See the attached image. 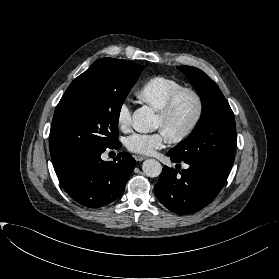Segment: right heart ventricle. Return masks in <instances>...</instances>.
<instances>
[{"label":"right heart ventricle","mask_w":279,"mask_h":279,"mask_svg":"<svg viewBox=\"0 0 279 279\" xmlns=\"http://www.w3.org/2000/svg\"><path fill=\"white\" fill-rule=\"evenodd\" d=\"M182 84L167 76H154L148 79L137 92L138 98L155 111H160L168 97Z\"/></svg>","instance_id":"1"}]
</instances>
